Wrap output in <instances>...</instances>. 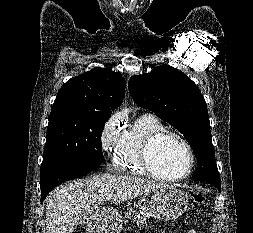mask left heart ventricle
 I'll return each mask as SVG.
<instances>
[{"label": "left heart ventricle", "mask_w": 253, "mask_h": 233, "mask_svg": "<svg viewBox=\"0 0 253 233\" xmlns=\"http://www.w3.org/2000/svg\"><path fill=\"white\" fill-rule=\"evenodd\" d=\"M152 166L163 176H180L190 163L186 148L172 139L162 140L155 147L151 156Z\"/></svg>", "instance_id": "left-heart-ventricle-1"}]
</instances>
